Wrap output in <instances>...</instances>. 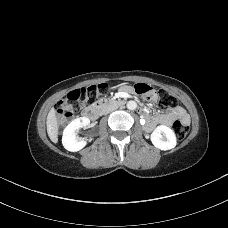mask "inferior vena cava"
I'll list each match as a JSON object with an SVG mask.
<instances>
[{
    "instance_id": "obj_1",
    "label": "inferior vena cava",
    "mask_w": 228,
    "mask_h": 228,
    "mask_svg": "<svg viewBox=\"0 0 228 228\" xmlns=\"http://www.w3.org/2000/svg\"><path fill=\"white\" fill-rule=\"evenodd\" d=\"M117 107L116 106H112V107H107L103 110V114H108L111 111L115 110Z\"/></svg>"
}]
</instances>
